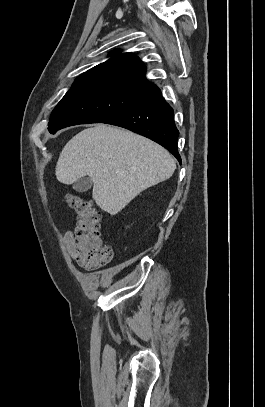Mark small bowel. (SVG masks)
<instances>
[{
    "label": "small bowel",
    "mask_w": 265,
    "mask_h": 407,
    "mask_svg": "<svg viewBox=\"0 0 265 407\" xmlns=\"http://www.w3.org/2000/svg\"><path fill=\"white\" fill-rule=\"evenodd\" d=\"M64 242L66 244L68 254L77 263V261H76V252H75V244H74V234H73L72 231L65 232V234H64Z\"/></svg>",
    "instance_id": "c3829d8e"
}]
</instances>
